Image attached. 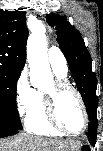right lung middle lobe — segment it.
Instances as JSON below:
<instances>
[{
	"label": "right lung middle lobe",
	"mask_w": 103,
	"mask_h": 151,
	"mask_svg": "<svg viewBox=\"0 0 103 151\" xmlns=\"http://www.w3.org/2000/svg\"><path fill=\"white\" fill-rule=\"evenodd\" d=\"M21 71L0 66V125L21 130L16 106V85Z\"/></svg>",
	"instance_id": "1"
}]
</instances>
